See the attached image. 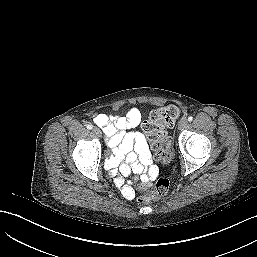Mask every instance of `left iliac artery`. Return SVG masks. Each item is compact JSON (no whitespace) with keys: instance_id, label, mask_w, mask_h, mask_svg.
I'll return each mask as SVG.
<instances>
[{"instance_id":"obj_1","label":"left iliac artery","mask_w":257,"mask_h":257,"mask_svg":"<svg viewBox=\"0 0 257 257\" xmlns=\"http://www.w3.org/2000/svg\"><path fill=\"white\" fill-rule=\"evenodd\" d=\"M192 120H193V117H192V116L188 117V121H189V122H191Z\"/></svg>"}]
</instances>
